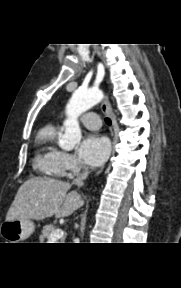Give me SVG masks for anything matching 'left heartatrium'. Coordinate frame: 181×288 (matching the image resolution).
Returning <instances> with one entry per match:
<instances>
[{
  "label": "left heart atrium",
  "instance_id": "1",
  "mask_svg": "<svg viewBox=\"0 0 181 288\" xmlns=\"http://www.w3.org/2000/svg\"><path fill=\"white\" fill-rule=\"evenodd\" d=\"M110 144L107 138L98 134H89L86 136L79 148V158L89 166H99L108 157Z\"/></svg>",
  "mask_w": 181,
  "mask_h": 288
}]
</instances>
